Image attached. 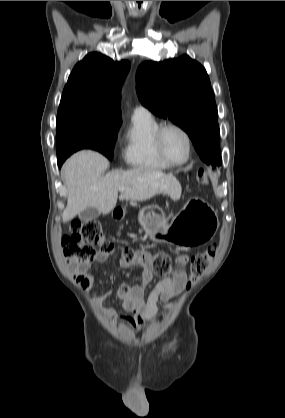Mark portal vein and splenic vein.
<instances>
[{"label":"portal vein and splenic vein","instance_id":"1","mask_svg":"<svg viewBox=\"0 0 285 418\" xmlns=\"http://www.w3.org/2000/svg\"><path fill=\"white\" fill-rule=\"evenodd\" d=\"M124 190H125V188H124V187H120V188H119V191H120V192H122V191H124Z\"/></svg>","mask_w":285,"mask_h":418}]
</instances>
